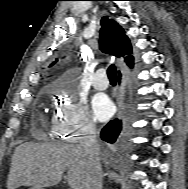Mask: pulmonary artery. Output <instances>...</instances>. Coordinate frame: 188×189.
<instances>
[{
	"mask_svg": "<svg viewBox=\"0 0 188 189\" xmlns=\"http://www.w3.org/2000/svg\"><path fill=\"white\" fill-rule=\"evenodd\" d=\"M92 85L97 90H105L108 87V79L104 69H98L92 78Z\"/></svg>",
	"mask_w": 188,
	"mask_h": 189,
	"instance_id": "pulmonary-artery-1",
	"label": "pulmonary artery"
}]
</instances>
